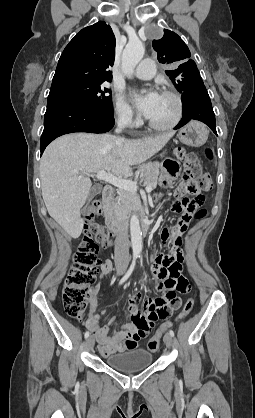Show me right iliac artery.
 <instances>
[{"mask_svg":"<svg viewBox=\"0 0 255 418\" xmlns=\"http://www.w3.org/2000/svg\"><path fill=\"white\" fill-rule=\"evenodd\" d=\"M135 263H136V258H133V261H132V264H131L130 268L128 269V271L126 272V274L122 277V279L120 280L119 284L124 283L129 278V276L131 275V273L134 270ZM89 335H90L89 331H86L84 336H85V338H88Z\"/></svg>","mask_w":255,"mask_h":418,"instance_id":"obj_1","label":"right iliac artery"}]
</instances>
